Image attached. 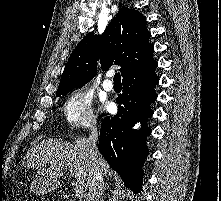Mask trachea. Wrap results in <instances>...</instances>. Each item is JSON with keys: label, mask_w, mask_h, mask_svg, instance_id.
<instances>
[{"label": "trachea", "mask_w": 221, "mask_h": 201, "mask_svg": "<svg viewBox=\"0 0 221 201\" xmlns=\"http://www.w3.org/2000/svg\"><path fill=\"white\" fill-rule=\"evenodd\" d=\"M114 83H121V76H120V73H116L114 75Z\"/></svg>", "instance_id": "obj_1"}]
</instances>
